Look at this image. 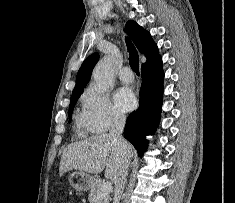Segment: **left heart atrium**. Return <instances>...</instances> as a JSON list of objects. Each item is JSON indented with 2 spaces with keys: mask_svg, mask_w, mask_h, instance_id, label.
<instances>
[{
  "mask_svg": "<svg viewBox=\"0 0 235 203\" xmlns=\"http://www.w3.org/2000/svg\"><path fill=\"white\" fill-rule=\"evenodd\" d=\"M114 99L117 107L123 112L130 111L136 106L135 96L132 91L127 88L119 89L115 93Z\"/></svg>",
  "mask_w": 235,
  "mask_h": 203,
  "instance_id": "obj_1",
  "label": "left heart atrium"
}]
</instances>
